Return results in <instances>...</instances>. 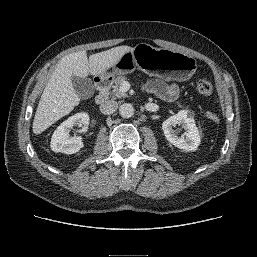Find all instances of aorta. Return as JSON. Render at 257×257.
Instances as JSON below:
<instances>
[{"label":"aorta","mask_w":257,"mask_h":257,"mask_svg":"<svg viewBox=\"0 0 257 257\" xmlns=\"http://www.w3.org/2000/svg\"><path fill=\"white\" fill-rule=\"evenodd\" d=\"M119 113L123 118H130L134 115V107L130 103H124L120 106Z\"/></svg>","instance_id":"762f6f07"}]
</instances>
